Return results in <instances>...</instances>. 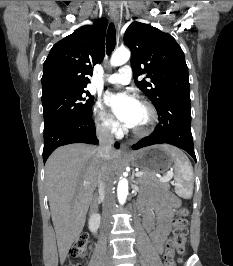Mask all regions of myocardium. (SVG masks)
<instances>
[{
    "label": "myocardium",
    "instance_id": "obj_1",
    "mask_svg": "<svg viewBox=\"0 0 233 266\" xmlns=\"http://www.w3.org/2000/svg\"><path fill=\"white\" fill-rule=\"evenodd\" d=\"M140 104L146 108L149 114L148 123L142 128H133L132 133L137 137H145L152 133L158 122V112L155 106L147 100H141Z\"/></svg>",
    "mask_w": 233,
    "mask_h": 266
}]
</instances>
